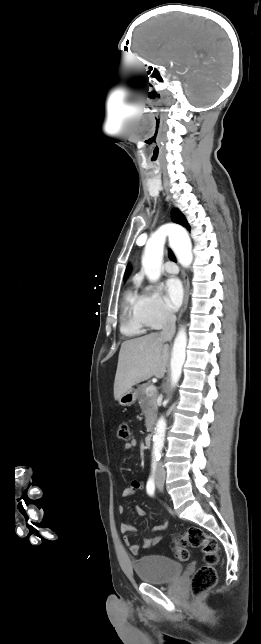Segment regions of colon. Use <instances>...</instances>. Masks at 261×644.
<instances>
[{
    "instance_id": "1",
    "label": "colon",
    "mask_w": 261,
    "mask_h": 644,
    "mask_svg": "<svg viewBox=\"0 0 261 644\" xmlns=\"http://www.w3.org/2000/svg\"><path fill=\"white\" fill-rule=\"evenodd\" d=\"M118 437L127 441L131 437L127 423L118 427ZM175 555L181 561L189 559L188 547H201L204 554V564L194 573L191 579V591L194 597L202 596L217 583L216 564L218 562V542L216 538L207 535L201 528L190 527L184 534L174 537Z\"/></svg>"
}]
</instances>
